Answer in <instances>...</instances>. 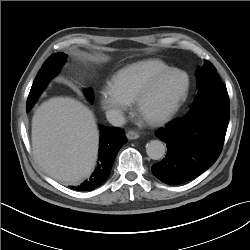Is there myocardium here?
Instances as JSON below:
<instances>
[{"label":"myocardium","mask_w":250,"mask_h":250,"mask_svg":"<svg viewBox=\"0 0 250 250\" xmlns=\"http://www.w3.org/2000/svg\"><path fill=\"white\" fill-rule=\"evenodd\" d=\"M173 74H183L185 76L186 82L185 87L182 91V93L176 98V100L167 108L163 113L146 119L147 123L153 126L161 125L168 120H170L173 115L178 111L180 106L183 104V102L186 100L191 86V79L189 74L178 68H171L169 70L163 71L162 73L156 75L153 77L144 87L143 89L138 93V95L135 98V105L136 109L139 113H141L142 106L145 103V101L153 94L155 89L157 88L158 84L164 80L165 78L169 77Z\"/></svg>","instance_id":"myocardium-1"}]
</instances>
